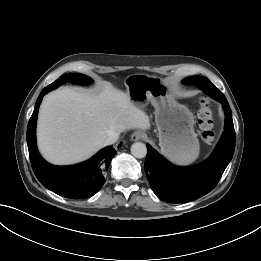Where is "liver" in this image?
Here are the masks:
<instances>
[{
  "mask_svg": "<svg viewBox=\"0 0 261 261\" xmlns=\"http://www.w3.org/2000/svg\"><path fill=\"white\" fill-rule=\"evenodd\" d=\"M135 128L150 129L148 115L111 84L98 93L62 88L42 101L37 143L48 162L75 164L102 149L111 134Z\"/></svg>",
  "mask_w": 261,
  "mask_h": 261,
  "instance_id": "6515ba94",
  "label": "liver"
}]
</instances>
